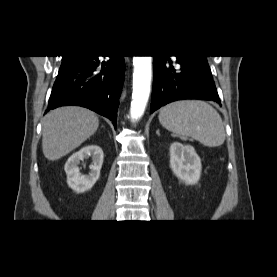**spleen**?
<instances>
[{
  "label": "spleen",
  "instance_id": "obj_1",
  "mask_svg": "<svg viewBox=\"0 0 277 277\" xmlns=\"http://www.w3.org/2000/svg\"><path fill=\"white\" fill-rule=\"evenodd\" d=\"M159 122L167 130L185 140L192 137L208 147L225 141V130L219 113L204 101H176L163 107Z\"/></svg>",
  "mask_w": 277,
  "mask_h": 277
}]
</instances>
